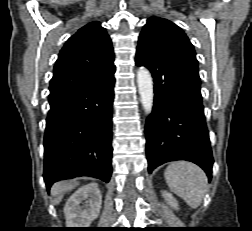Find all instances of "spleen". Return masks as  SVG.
<instances>
[{
	"instance_id": "obj_1",
	"label": "spleen",
	"mask_w": 252,
	"mask_h": 231,
	"mask_svg": "<svg viewBox=\"0 0 252 231\" xmlns=\"http://www.w3.org/2000/svg\"><path fill=\"white\" fill-rule=\"evenodd\" d=\"M170 190L182 198L191 208H198L207 189V176L197 165L186 162H172L164 173Z\"/></svg>"
}]
</instances>
